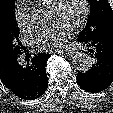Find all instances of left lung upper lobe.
Returning <instances> with one entry per match:
<instances>
[{
    "mask_svg": "<svg viewBox=\"0 0 113 113\" xmlns=\"http://www.w3.org/2000/svg\"><path fill=\"white\" fill-rule=\"evenodd\" d=\"M90 15L81 33L88 35H113V11L108 0H89Z\"/></svg>",
    "mask_w": 113,
    "mask_h": 113,
    "instance_id": "5c2ea615",
    "label": "left lung upper lobe"
}]
</instances>
